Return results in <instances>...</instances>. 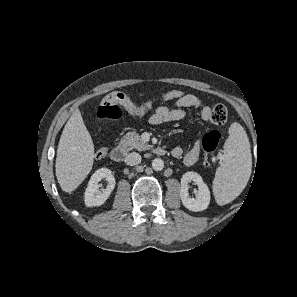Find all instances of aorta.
Returning <instances> with one entry per match:
<instances>
[{
    "instance_id": "aorta-1",
    "label": "aorta",
    "mask_w": 297,
    "mask_h": 297,
    "mask_svg": "<svg viewBox=\"0 0 297 297\" xmlns=\"http://www.w3.org/2000/svg\"><path fill=\"white\" fill-rule=\"evenodd\" d=\"M152 168L155 170V171H161L163 168H164V162L162 159L160 158H155L153 161H152Z\"/></svg>"
}]
</instances>
